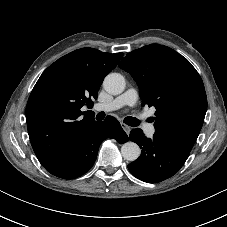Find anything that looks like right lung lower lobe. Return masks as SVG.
Instances as JSON below:
<instances>
[{"label":"right lung lower lobe","mask_w":227,"mask_h":227,"mask_svg":"<svg viewBox=\"0 0 227 227\" xmlns=\"http://www.w3.org/2000/svg\"><path fill=\"white\" fill-rule=\"evenodd\" d=\"M126 135L117 119L108 116L95 122L88 131L71 143L52 163L44 166L54 176L73 179L86 173L94 164L100 144L106 138Z\"/></svg>","instance_id":"right-lung-lower-lobe-1"}]
</instances>
